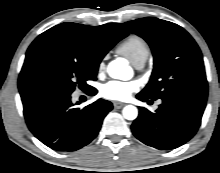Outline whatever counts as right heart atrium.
I'll use <instances>...</instances> for the list:
<instances>
[{"mask_svg":"<svg viewBox=\"0 0 220 173\" xmlns=\"http://www.w3.org/2000/svg\"><path fill=\"white\" fill-rule=\"evenodd\" d=\"M103 68H104V63H103V62H101V63L99 64V71H102V70H103Z\"/></svg>","mask_w":220,"mask_h":173,"instance_id":"d8ad5b80","label":"right heart atrium"}]
</instances>
